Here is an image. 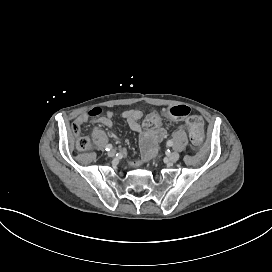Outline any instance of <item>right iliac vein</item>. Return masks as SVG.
<instances>
[{"instance_id": "1", "label": "right iliac vein", "mask_w": 272, "mask_h": 272, "mask_svg": "<svg viewBox=\"0 0 272 272\" xmlns=\"http://www.w3.org/2000/svg\"><path fill=\"white\" fill-rule=\"evenodd\" d=\"M115 154H116V151H115V150H110V151L108 152V156H109V157H113V156H115Z\"/></svg>"}]
</instances>
